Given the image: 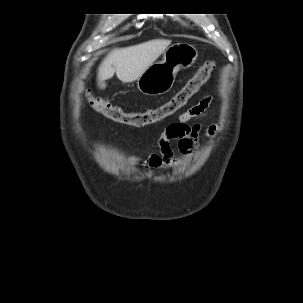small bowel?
Returning <instances> with one entry per match:
<instances>
[{"label": "small bowel", "instance_id": "c3829d8e", "mask_svg": "<svg viewBox=\"0 0 303 303\" xmlns=\"http://www.w3.org/2000/svg\"><path fill=\"white\" fill-rule=\"evenodd\" d=\"M209 104V98L204 97L182 113L178 121L169 124L158 140L159 153H153L148 157H144L143 153L131 155L126 159V164L135 165L144 162L150 168L165 170L176 165L178 160L174 156L170 141H177L178 150L182 154L190 153L197 147L202 132L197 121L205 115Z\"/></svg>", "mask_w": 303, "mask_h": 303}]
</instances>
